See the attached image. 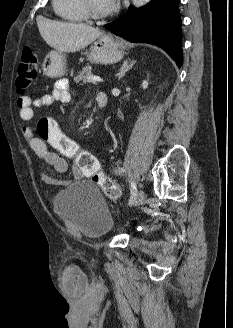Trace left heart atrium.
<instances>
[{
    "label": "left heart atrium",
    "instance_id": "39dd6f15",
    "mask_svg": "<svg viewBox=\"0 0 233 328\" xmlns=\"http://www.w3.org/2000/svg\"><path fill=\"white\" fill-rule=\"evenodd\" d=\"M108 1L114 5L118 0H108Z\"/></svg>",
    "mask_w": 233,
    "mask_h": 328
}]
</instances>
